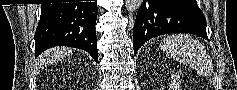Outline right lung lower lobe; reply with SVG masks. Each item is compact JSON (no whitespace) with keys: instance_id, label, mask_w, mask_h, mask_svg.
Returning <instances> with one entry per match:
<instances>
[{"instance_id":"right-lung-lower-lobe-1","label":"right lung lower lobe","mask_w":237,"mask_h":90,"mask_svg":"<svg viewBox=\"0 0 237 90\" xmlns=\"http://www.w3.org/2000/svg\"><path fill=\"white\" fill-rule=\"evenodd\" d=\"M97 12V2L42 4L35 57L50 47L69 46L87 51L97 62Z\"/></svg>"}]
</instances>
